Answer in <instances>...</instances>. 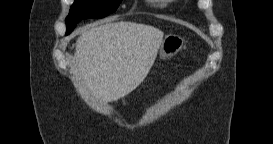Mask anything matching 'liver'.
<instances>
[{"mask_svg":"<svg viewBox=\"0 0 273 144\" xmlns=\"http://www.w3.org/2000/svg\"><path fill=\"white\" fill-rule=\"evenodd\" d=\"M163 36L153 26L123 21L83 31L74 54L81 83L104 102L124 98L146 78Z\"/></svg>","mask_w":273,"mask_h":144,"instance_id":"liver-1","label":"liver"}]
</instances>
